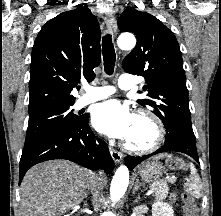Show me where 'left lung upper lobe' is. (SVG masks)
<instances>
[{"label": "left lung upper lobe", "mask_w": 221, "mask_h": 216, "mask_svg": "<svg viewBox=\"0 0 221 216\" xmlns=\"http://www.w3.org/2000/svg\"><path fill=\"white\" fill-rule=\"evenodd\" d=\"M122 31L137 36V45L123 60V69L145 78L151 99L138 102L153 110L166 128V140L195 142L182 54L173 32L149 13L127 8L118 20Z\"/></svg>", "instance_id": "left-lung-upper-lobe-1"}]
</instances>
